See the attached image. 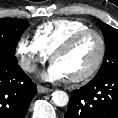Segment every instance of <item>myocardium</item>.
<instances>
[{
	"instance_id": "1",
	"label": "myocardium",
	"mask_w": 118,
	"mask_h": 118,
	"mask_svg": "<svg viewBox=\"0 0 118 118\" xmlns=\"http://www.w3.org/2000/svg\"><path fill=\"white\" fill-rule=\"evenodd\" d=\"M93 35L97 38L99 43V54L93 66L84 74L74 77H68V81L72 83L84 82L91 79L102 66L106 51L107 45L106 40L101 32L96 29L87 28L82 31H79L68 38L64 43H62L51 55V60L54 61L60 55H63L70 50H72L81 40H83L86 36Z\"/></svg>"
}]
</instances>
